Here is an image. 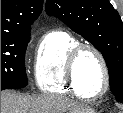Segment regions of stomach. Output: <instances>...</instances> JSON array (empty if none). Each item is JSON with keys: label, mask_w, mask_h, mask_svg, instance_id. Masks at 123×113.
Wrapping results in <instances>:
<instances>
[{"label": "stomach", "mask_w": 123, "mask_h": 113, "mask_svg": "<svg viewBox=\"0 0 123 113\" xmlns=\"http://www.w3.org/2000/svg\"><path fill=\"white\" fill-rule=\"evenodd\" d=\"M78 113H94L93 110H84V111H81V112H78Z\"/></svg>", "instance_id": "stomach-1"}]
</instances>
